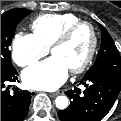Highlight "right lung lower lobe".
<instances>
[{
    "mask_svg": "<svg viewBox=\"0 0 121 121\" xmlns=\"http://www.w3.org/2000/svg\"><path fill=\"white\" fill-rule=\"evenodd\" d=\"M17 75L15 68H1V121H22L28 113L32 93L7 85Z\"/></svg>",
    "mask_w": 121,
    "mask_h": 121,
    "instance_id": "right-lung-lower-lobe-1",
    "label": "right lung lower lobe"
}]
</instances>
